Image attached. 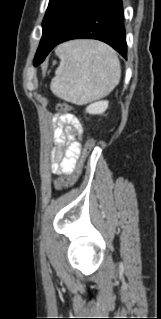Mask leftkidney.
I'll list each match as a JSON object with an SVG mask.
<instances>
[{
    "label": "left kidney",
    "instance_id": "1",
    "mask_svg": "<svg viewBox=\"0 0 161 319\" xmlns=\"http://www.w3.org/2000/svg\"><path fill=\"white\" fill-rule=\"evenodd\" d=\"M108 108V101H98L87 106L86 112L89 114H102Z\"/></svg>",
    "mask_w": 161,
    "mask_h": 319
}]
</instances>
